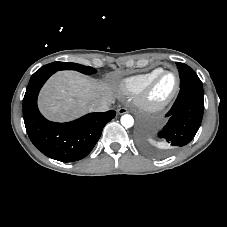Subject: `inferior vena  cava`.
Returning a JSON list of instances; mask_svg holds the SVG:
<instances>
[{
	"mask_svg": "<svg viewBox=\"0 0 227 227\" xmlns=\"http://www.w3.org/2000/svg\"><path fill=\"white\" fill-rule=\"evenodd\" d=\"M113 103L112 100L103 98L99 101H96L92 104L91 108L96 112H105L109 110L110 105Z\"/></svg>",
	"mask_w": 227,
	"mask_h": 227,
	"instance_id": "inferior-vena-cava-1",
	"label": "inferior vena cava"
}]
</instances>
